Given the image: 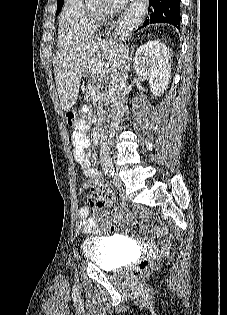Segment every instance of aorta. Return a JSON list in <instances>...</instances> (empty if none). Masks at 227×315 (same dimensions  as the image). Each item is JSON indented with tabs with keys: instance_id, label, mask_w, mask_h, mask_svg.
Listing matches in <instances>:
<instances>
[{
	"instance_id": "762f6f07",
	"label": "aorta",
	"mask_w": 227,
	"mask_h": 315,
	"mask_svg": "<svg viewBox=\"0 0 227 315\" xmlns=\"http://www.w3.org/2000/svg\"><path fill=\"white\" fill-rule=\"evenodd\" d=\"M91 1L96 2V3H101L104 0H91ZM128 29L129 28H127V30ZM101 159H105L106 161H109L112 163L111 157H110V148H109L108 142H106V136L103 137V142L101 146Z\"/></svg>"
}]
</instances>
